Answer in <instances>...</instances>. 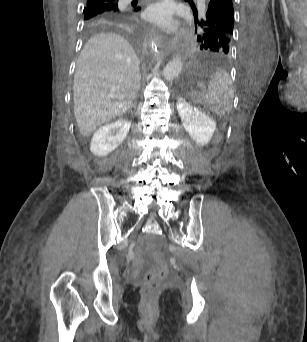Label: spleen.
<instances>
[{
  "instance_id": "obj_1",
  "label": "spleen",
  "mask_w": 307,
  "mask_h": 342,
  "mask_svg": "<svg viewBox=\"0 0 307 342\" xmlns=\"http://www.w3.org/2000/svg\"><path fill=\"white\" fill-rule=\"evenodd\" d=\"M196 99L211 104L210 108L211 110H214V114H230V106L233 100V88L232 80L228 72L219 68V70L211 76L208 92H205V94L197 93Z\"/></svg>"
}]
</instances>
